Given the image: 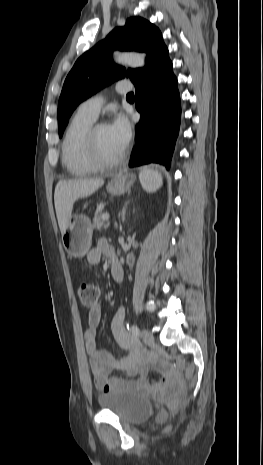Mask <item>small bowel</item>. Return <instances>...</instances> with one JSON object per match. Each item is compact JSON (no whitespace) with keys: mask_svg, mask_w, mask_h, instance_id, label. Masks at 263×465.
I'll use <instances>...</instances> for the list:
<instances>
[{"mask_svg":"<svg viewBox=\"0 0 263 465\" xmlns=\"http://www.w3.org/2000/svg\"><path fill=\"white\" fill-rule=\"evenodd\" d=\"M113 249L105 240H100L98 245L87 254V261L91 265H97L102 256L111 258ZM125 309L120 306L111 322V330L117 343L126 353L113 355L107 350L97 349L95 337L97 328L102 320V308L99 304L91 307L88 312V327L85 330V346L89 356V366L95 385L102 392L114 389H132L158 395L162 389L175 380L174 375L168 370L159 369V380L150 381L147 377L151 365L143 360L140 348L135 339L128 335L124 327ZM114 370H120L127 374L128 378L111 377Z\"/></svg>","mask_w":263,"mask_h":465,"instance_id":"1","label":"small bowel"}]
</instances>
